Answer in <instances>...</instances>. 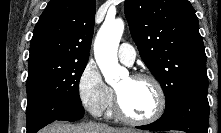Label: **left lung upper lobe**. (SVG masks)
<instances>
[{"label":"left lung upper lobe","mask_w":221,"mask_h":133,"mask_svg":"<svg viewBox=\"0 0 221 133\" xmlns=\"http://www.w3.org/2000/svg\"><path fill=\"white\" fill-rule=\"evenodd\" d=\"M124 7L140 56L164 91L166 108L189 90L208 88L204 44L188 0H126Z\"/></svg>","instance_id":"1"}]
</instances>
